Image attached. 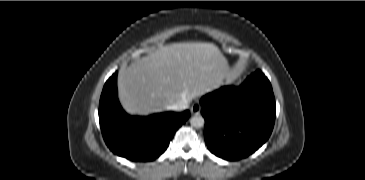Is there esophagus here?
Segmentation results:
<instances>
[{"mask_svg":"<svg viewBox=\"0 0 365 180\" xmlns=\"http://www.w3.org/2000/svg\"><path fill=\"white\" fill-rule=\"evenodd\" d=\"M190 111L193 115H198L200 114V111H201V106L200 104L198 103H194L191 108H190Z\"/></svg>","mask_w":365,"mask_h":180,"instance_id":"obj_1","label":"esophagus"}]
</instances>
